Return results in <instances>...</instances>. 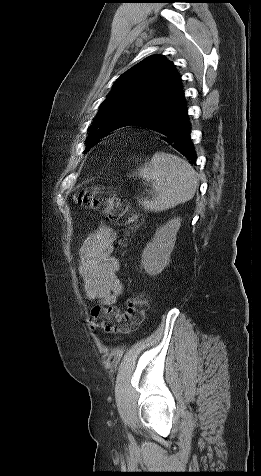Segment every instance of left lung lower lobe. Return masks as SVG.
<instances>
[{"instance_id": "left-lung-lower-lobe-1", "label": "left lung lower lobe", "mask_w": 261, "mask_h": 476, "mask_svg": "<svg viewBox=\"0 0 261 476\" xmlns=\"http://www.w3.org/2000/svg\"><path fill=\"white\" fill-rule=\"evenodd\" d=\"M130 125H138L158 132L162 135V140L167 142L170 147L179 151L191 163L196 161V153L190 137L188 111L184 99L158 116H150Z\"/></svg>"}]
</instances>
